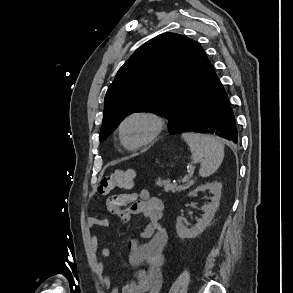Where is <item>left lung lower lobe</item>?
<instances>
[{"label": "left lung lower lobe", "mask_w": 293, "mask_h": 293, "mask_svg": "<svg viewBox=\"0 0 293 293\" xmlns=\"http://www.w3.org/2000/svg\"><path fill=\"white\" fill-rule=\"evenodd\" d=\"M182 132L210 133L238 142L232 108L213 70L206 86L186 103L181 121L171 131Z\"/></svg>", "instance_id": "0a47b994"}]
</instances>
